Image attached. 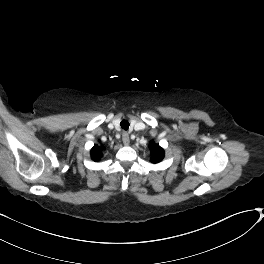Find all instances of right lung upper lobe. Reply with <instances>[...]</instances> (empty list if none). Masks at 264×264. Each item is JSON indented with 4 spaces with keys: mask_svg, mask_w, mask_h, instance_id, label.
Listing matches in <instances>:
<instances>
[{
    "mask_svg": "<svg viewBox=\"0 0 264 264\" xmlns=\"http://www.w3.org/2000/svg\"><path fill=\"white\" fill-rule=\"evenodd\" d=\"M102 149H104V147L101 148L98 145H95L91 149V157L94 161H98L102 157Z\"/></svg>",
    "mask_w": 264,
    "mask_h": 264,
    "instance_id": "cb5924a9",
    "label": "right lung upper lobe"
}]
</instances>
